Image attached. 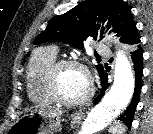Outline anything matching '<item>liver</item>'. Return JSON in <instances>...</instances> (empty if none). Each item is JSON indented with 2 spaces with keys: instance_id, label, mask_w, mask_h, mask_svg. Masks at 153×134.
Returning a JSON list of instances; mask_svg holds the SVG:
<instances>
[{
  "instance_id": "1",
  "label": "liver",
  "mask_w": 153,
  "mask_h": 134,
  "mask_svg": "<svg viewBox=\"0 0 153 134\" xmlns=\"http://www.w3.org/2000/svg\"><path fill=\"white\" fill-rule=\"evenodd\" d=\"M41 111L49 113L51 116H61L63 114V111L59 108H42Z\"/></svg>"
}]
</instances>
